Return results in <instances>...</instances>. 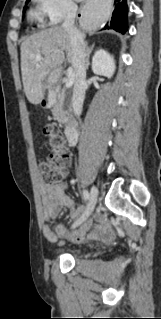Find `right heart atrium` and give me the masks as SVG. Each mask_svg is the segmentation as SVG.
<instances>
[{
  "instance_id": "right-heart-atrium-1",
  "label": "right heart atrium",
  "mask_w": 161,
  "mask_h": 319,
  "mask_svg": "<svg viewBox=\"0 0 161 319\" xmlns=\"http://www.w3.org/2000/svg\"><path fill=\"white\" fill-rule=\"evenodd\" d=\"M42 11L53 25L59 24L67 15L72 14L76 5L73 0H38Z\"/></svg>"
}]
</instances>
